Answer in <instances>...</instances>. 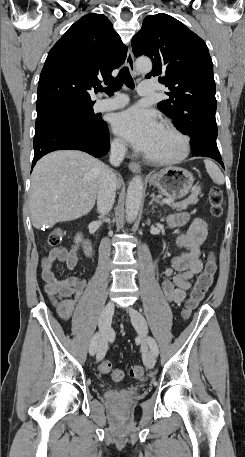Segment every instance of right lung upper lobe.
<instances>
[{
  "label": "right lung upper lobe",
  "mask_w": 245,
  "mask_h": 457,
  "mask_svg": "<svg viewBox=\"0 0 245 457\" xmlns=\"http://www.w3.org/2000/svg\"><path fill=\"white\" fill-rule=\"evenodd\" d=\"M127 55L112 23L103 14L91 13L75 22L50 50L40 74L37 112L63 102L91 100L100 82L112 81L111 71Z\"/></svg>",
  "instance_id": "cb5924a9"
}]
</instances>
